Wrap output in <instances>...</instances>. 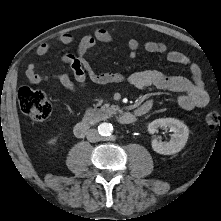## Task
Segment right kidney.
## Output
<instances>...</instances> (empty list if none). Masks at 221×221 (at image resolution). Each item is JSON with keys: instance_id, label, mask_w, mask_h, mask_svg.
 Segmentation results:
<instances>
[{"instance_id": "right-kidney-1", "label": "right kidney", "mask_w": 221, "mask_h": 221, "mask_svg": "<svg viewBox=\"0 0 221 221\" xmlns=\"http://www.w3.org/2000/svg\"><path fill=\"white\" fill-rule=\"evenodd\" d=\"M55 142H56V139H50V140L48 141L49 144H54Z\"/></svg>"}]
</instances>
